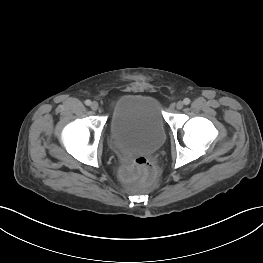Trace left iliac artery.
<instances>
[{"mask_svg":"<svg viewBox=\"0 0 263 263\" xmlns=\"http://www.w3.org/2000/svg\"><path fill=\"white\" fill-rule=\"evenodd\" d=\"M183 102H184L185 105H188V104H190V99L189 98H185L183 100Z\"/></svg>","mask_w":263,"mask_h":263,"instance_id":"1","label":"left iliac artery"}]
</instances>
